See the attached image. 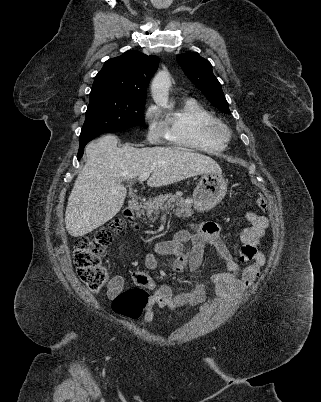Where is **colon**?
I'll return each mask as SVG.
<instances>
[{"label":"colon","mask_w":321,"mask_h":402,"mask_svg":"<svg viewBox=\"0 0 321 402\" xmlns=\"http://www.w3.org/2000/svg\"><path fill=\"white\" fill-rule=\"evenodd\" d=\"M256 204L267 210L268 201L258 196ZM123 228V220L113 219L109 225L98 231L93 238L81 237L74 244V265L80 280L90 291H99L106 285L109 272L102 264V256L113 240V235ZM149 301L148 292L142 287H133L118 294L113 300L116 314L130 320L141 317Z\"/></svg>","instance_id":"1"}]
</instances>
